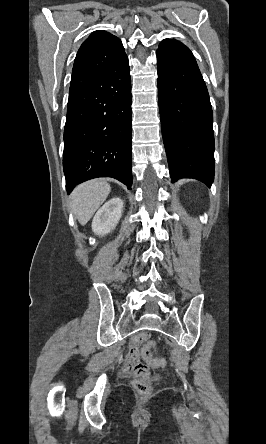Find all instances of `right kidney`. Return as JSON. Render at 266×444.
Here are the masks:
<instances>
[{"mask_svg": "<svg viewBox=\"0 0 266 444\" xmlns=\"http://www.w3.org/2000/svg\"><path fill=\"white\" fill-rule=\"evenodd\" d=\"M123 205V201L118 197L106 202L93 218V232L98 236H104L110 233L116 227L122 216Z\"/></svg>", "mask_w": 266, "mask_h": 444, "instance_id": "ca27d5eb", "label": "right kidney"}]
</instances>
